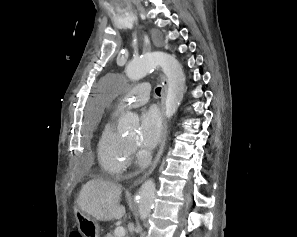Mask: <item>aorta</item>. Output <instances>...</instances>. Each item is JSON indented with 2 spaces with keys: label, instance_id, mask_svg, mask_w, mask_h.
Segmentation results:
<instances>
[{
  "label": "aorta",
  "instance_id": "aorta-1",
  "mask_svg": "<svg viewBox=\"0 0 297 237\" xmlns=\"http://www.w3.org/2000/svg\"><path fill=\"white\" fill-rule=\"evenodd\" d=\"M156 68H161L167 77L168 92L165 100V115L171 118L177 111L185 91V75L178 60L167 53L153 52L142 58L133 59L126 65V75L132 81H138ZM138 117L125 113L119 121L122 133H135ZM155 183L152 179L145 181L139 191L138 211L141 220H146L155 202Z\"/></svg>",
  "mask_w": 297,
  "mask_h": 237
}]
</instances>
